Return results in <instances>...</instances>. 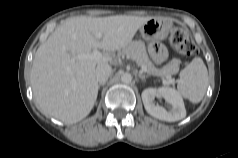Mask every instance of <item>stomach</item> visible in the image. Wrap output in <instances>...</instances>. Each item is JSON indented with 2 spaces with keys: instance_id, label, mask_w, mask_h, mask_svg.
Wrapping results in <instances>:
<instances>
[{
  "instance_id": "1",
  "label": "stomach",
  "mask_w": 238,
  "mask_h": 158,
  "mask_svg": "<svg viewBox=\"0 0 238 158\" xmlns=\"http://www.w3.org/2000/svg\"><path fill=\"white\" fill-rule=\"evenodd\" d=\"M170 30L171 26L168 22L151 18L141 26L140 33L146 41H159L167 38Z\"/></svg>"
}]
</instances>
